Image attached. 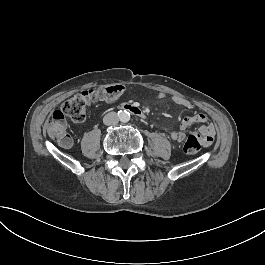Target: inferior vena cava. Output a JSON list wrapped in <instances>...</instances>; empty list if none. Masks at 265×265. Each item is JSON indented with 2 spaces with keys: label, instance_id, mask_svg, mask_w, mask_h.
I'll return each instance as SVG.
<instances>
[{
  "label": "inferior vena cava",
  "instance_id": "602c4592",
  "mask_svg": "<svg viewBox=\"0 0 265 265\" xmlns=\"http://www.w3.org/2000/svg\"><path fill=\"white\" fill-rule=\"evenodd\" d=\"M103 122L107 126L117 125L119 123V117L115 112H110L104 117Z\"/></svg>",
  "mask_w": 265,
  "mask_h": 265
}]
</instances>
